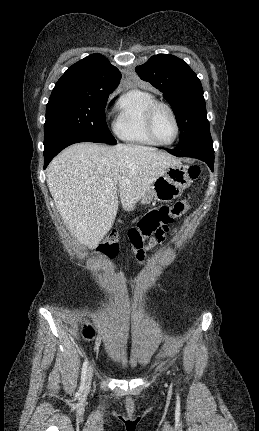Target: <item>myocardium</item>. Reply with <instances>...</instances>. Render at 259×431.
<instances>
[{
	"label": "myocardium",
	"instance_id": "myocardium-1",
	"mask_svg": "<svg viewBox=\"0 0 259 431\" xmlns=\"http://www.w3.org/2000/svg\"><path fill=\"white\" fill-rule=\"evenodd\" d=\"M159 108H164L170 113V115L173 119L174 125H175L174 137L172 138L171 141L166 142V143L159 141L155 135V132H154V117H155V114ZM145 124H146V130H147L149 137L151 138V140L156 145H159V146L172 145L177 140L179 133H180V125H179V121H178V118H177V115H176L174 109L169 104L162 102V101H155L154 103H152L148 107V109L146 110V113H145Z\"/></svg>",
	"mask_w": 259,
	"mask_h": 431
}]
</instances>
